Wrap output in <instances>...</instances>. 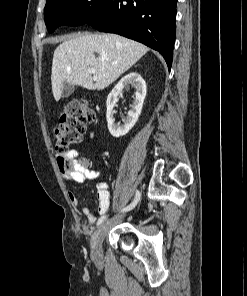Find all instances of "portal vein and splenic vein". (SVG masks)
<instances>
[{
  "instance_id": "1",
  "label": "portal vein and splenic vein",
  "mask_w": 247,
  "mask_h": 296,
  "mask_svg": "<svg viewBox=\"0 0 247 296\" xmlns=\"http://www.w3.org/2000/svg\"><path fill=\"white\" fill-rule=\"evenodd\" d=\"M87 71L90 74H95V72H96V70L94 68H89Z\"/></svg>"
}]
</instances>
